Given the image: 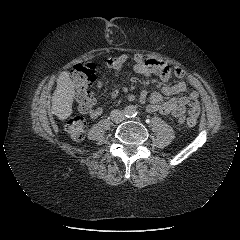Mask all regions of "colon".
<instances>
[{"instance_id": "obj_1", "label": "colon", "mask_w": 240, "mask_h": 240, "mask_svg": "<svg viewBox=\"0 0 240 240\" xmlns=\"http://www.w3.org/2000/svg\"><path fill=\"white\" fill-rule=\"evenodd\" d=\"M73 85L76 89V100L81 112L89 114L94 107V98L89 91V87L95 81V67L92 63H80L71 68L70 71ZM189 127H194L196 118L189 117L186 121ZM86 120L81 116L71 117L66 123V131L75 141L84 138Z\"/></svg>"}]
</instances>
